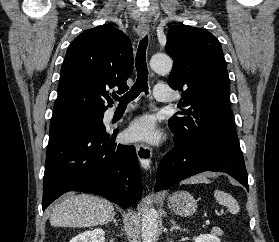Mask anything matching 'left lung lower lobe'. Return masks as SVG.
<instances>
[{"label": "left lung lower lobe", "mask_w": 279, "mask_h": 242, "mask_svg": "<svg viewBox=\"0 0 279 242\" xmlns=\"http://www.w3.org/2000/svg\"><path fill=\"white\" fill-rule=\"evenodd\" d=\"M161 160L155 190H165L179 181L203 171H222L249 190L244 158L239 150L217 144L182 147L178 140Z\"/></svg>", "instance_id": "0a47b994"}]
</instances>
